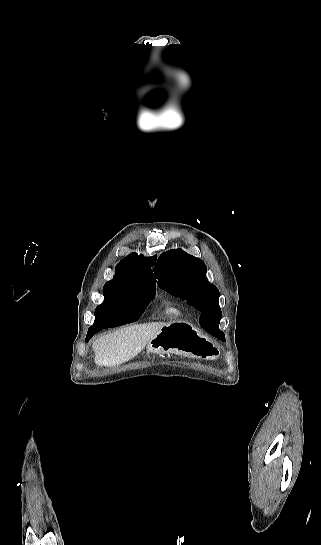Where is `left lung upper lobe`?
I'll use <instances>...</instances> for the list:
<instances>
[{"instance_id":"left-lung-upper-lobe-1","label":"left lung upper lobe","mask_w":321,"mask_h":545,"mask_svg":"<svg viewBox=\"0 0 321 545\" xmlns=\"http://www.w3.org/2000/svg\"><path fill=\"white\" fill-rule=\"evenodd\" d=\"M158 286L170 294L186 299L202 314L200 325L211 317L221 319L219 291L208 282L202 260L182 249L162 253L154 268Z\"/></svg>"}]
</instances>
